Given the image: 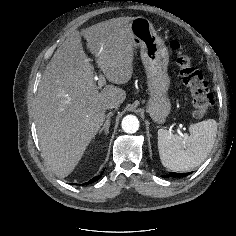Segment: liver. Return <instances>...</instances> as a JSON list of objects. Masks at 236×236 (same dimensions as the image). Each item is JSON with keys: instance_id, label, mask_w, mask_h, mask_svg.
Here are the masks:
<instances>
[{"instance_id": "liver-1", "label": "liver", "mask_w": 236, "mask_h": 236, "mask_svg": "<svg viewBox=\"0 0 236 236\" xmlns=\"http://www.w3.org/2000/svg\"><path fill=\"white\" fill-rule=\"evenodd\" d=\"M133 19L113 18L73 32L46 66L36 99V129L42 154L59 178L72 173L81 160L106 118V105L119 106L126 98L114 85L99 91L81 37L106 79L125 84L133 74Z\"/></svg>"}]
</instances>
